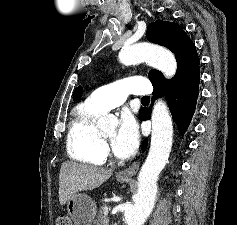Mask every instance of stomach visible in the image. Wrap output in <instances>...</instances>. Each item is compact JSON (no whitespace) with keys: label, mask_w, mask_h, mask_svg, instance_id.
Wrapping results in <instances>:
<instances>
[{"label":"stomach","mask_w":237,"mask_h":225,"mask_svg":"<svg viewBox=\"0 0 237 225\" xmlns=\"http://www.w3.org/2000/svg\"><path fill=\"white\" fill-rule=\"evenodd\" d=\"M118 181L123 183L127 179L118 178ZM67 211L75 225H91L96 215V204L87 194L78 193L67 201Z\"/></svg>","instance_id":"obj_1"}]
</instances>
